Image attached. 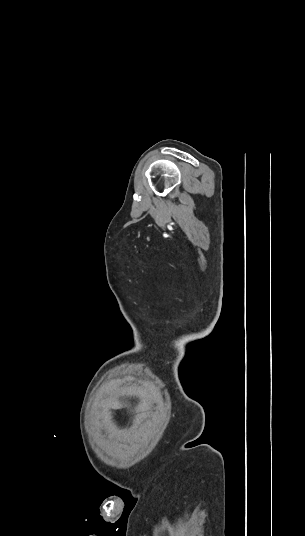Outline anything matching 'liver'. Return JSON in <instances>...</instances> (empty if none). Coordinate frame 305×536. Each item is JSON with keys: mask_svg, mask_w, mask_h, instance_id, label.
<instances>
[{"mask_svg": "<svg viewBox=\"0 0 305 536\" xmlns=\"http://www.w3.org/2000/svg\"><path fill=\"white\" fill-rule=\"evenodd\" d=\"M107 406H111V408H117V406H121V404H118V402H114V400H107Z\"/></svg>", "mask_w": 305, "mask_h": 536, "instance_id": "obj_1", "label": "liver"}]
</instances>
